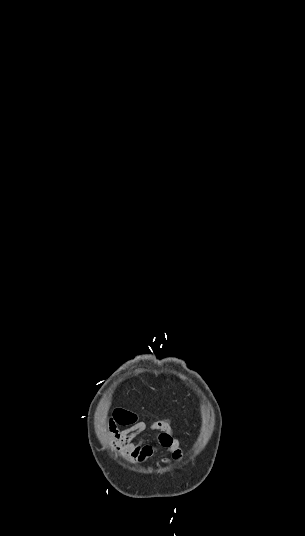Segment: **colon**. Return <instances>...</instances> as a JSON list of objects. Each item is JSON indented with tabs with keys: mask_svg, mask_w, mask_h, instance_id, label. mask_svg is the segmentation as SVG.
I'll return each instance as SVG.
<instances>
[{
	"mask_svg": "<svg viewBox=\"0 0 305 536\" xmlns=\"http://www.w3.org/2000/svg\"><path fill=\"white\" fill-rule=\"evenodd\" d=\"M113 415L115 417V423L120 424L121 427L130 426L139 419L137 411H115Z\"/></svg>",
	"mask_w": 305,
	"mask_h": 536,
	"instance_id": "1",
	"label": "colon"
}]
</instances>
